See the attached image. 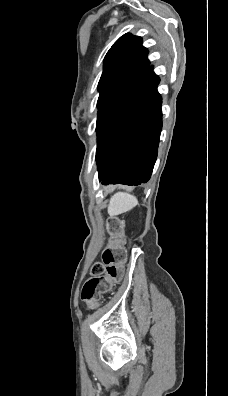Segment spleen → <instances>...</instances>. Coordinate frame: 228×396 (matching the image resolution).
<instances>
[{"mask_svg":"<svg viewBox=\"0 0 228 396\" xmlns=\"http://www.w3.org/2000/svg\"><path fill=\"white\" fill-rule=\"evenodd\" d=\"M138 204L135 196L126 192H117L110 198L108 205V214L116 216L128 212Z\"/></svg>","mask_w":228,"mask_h":396,"instance_id":"1","label":"spleen"}]
</instances>
